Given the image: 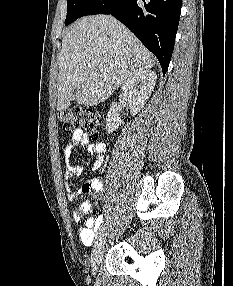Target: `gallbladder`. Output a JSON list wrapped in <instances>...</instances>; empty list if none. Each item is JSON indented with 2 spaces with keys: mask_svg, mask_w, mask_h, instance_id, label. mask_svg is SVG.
Instances as JSON below:
<instances>
[{
  "mask_svg": "<svg viewBox=\"0 0 233 286\" xmlns=\"http://www.w3.org/2000/svg\"><path fill=\"white\" fill-rule=\"evenodd\" d=\"M77 93H78V89L75 88V89L73 90L72 94H73V96H77Z\"/></svg>",
  "mask_w": 233,
  "mask_h": 286,
  "instance_id": "bac80fb5",
  "label": "gallbladder"
}]
</instances>
